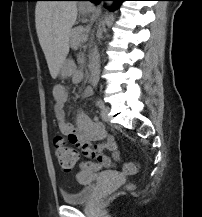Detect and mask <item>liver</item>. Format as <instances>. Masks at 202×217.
Wrapping results in <instances>:
<instances>
[{"label":"liver","mask_w":202,"mask_h":217,"mask_svg":"<svg viewBox=\"0 0 202 217\" xmlns=\"http://www.w3.org/2000/svg\"><path fill=\"white\" fill-rule=\"evenodd\" d=\"M77 12L74 1H39L36 4V31L54 79L69 53L71 28L76 21Z\"/></svg>","instance_id":"1"}]
</instances>
